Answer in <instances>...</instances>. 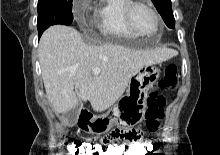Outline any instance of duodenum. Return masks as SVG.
Segmentation results:
<instances>
[{"label":"duodenum","mask_w":220,"mask_h":155,"mask_svg":"<svg viewBox=\"0 0 220 155\" xmlns=\"http://www.w3.org/2000/svg\"><path fill=\"white\" fill-rule=\"evenodd\" d=\"M93 118L94 116L89 110L81 109L78 115V124L80 126L89 125L92 122Z\"/></svg>","instance_id":"obj_1"}]
</instances>
